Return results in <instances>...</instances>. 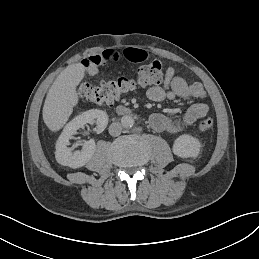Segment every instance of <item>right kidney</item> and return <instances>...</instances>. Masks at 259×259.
<instances>
[{
	"label": "right kidney",
	"mask_w": 259,
	"mask_h": 259,
	"mask_svg": "<svg viewBox=\"0 0 259 259\" xmlns=\"http://www.w3.org/2000/svg\"><path fill=\"white\" fill-rule=\"evenodd\" d=\"M94 121L97 123L95 131L101 133L108 124V116L102 110L92 109L80 114L66 125L56 145L55 158L58 164L72 169H79L91 160L95 153L94 141L84 142L82 151L74 154L71 153V148L68 145L72 136L76 135L77 130L84 128L87 123L93 124Z\"/></svg>",
	"instance_id": "1"
}]
</instances>
